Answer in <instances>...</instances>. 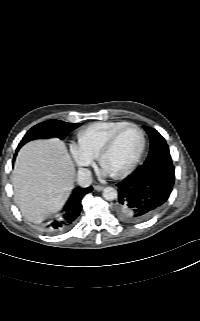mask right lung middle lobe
Instances as JSON below:
<instances>
[{"mask_svg":"<svg viewBox=\"0 0 200 321\" xmlns=\"http://www.w3.org/2000/svg\"><path fill=\"white\" fill-rule=\"evenodd\" d=\"M80 125V123L72 124L60 120H49L42 122L32 127L25 134L18 145V149L25 143L38 138L57 137L63 140L69 132L76 129Z\"/></svg>","mask_w":200,"mask_h":321,"instance_id":"obj_1","label":"right lung middle lobe"}]
</instances>
